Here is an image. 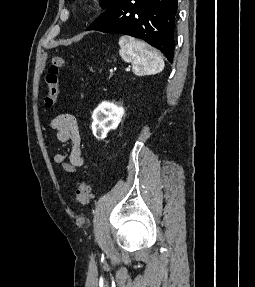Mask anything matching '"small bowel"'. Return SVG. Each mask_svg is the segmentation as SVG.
Masks as SVG:
<instances>
[{
	"mask_svg": "<svg viewBox=\"0 0 255 287\" xmlns=\"http://www.w3.org/2000/svg\"><path fill=\"white\" fill-rule=\"evenodd\" d=\"M52 130L56 133L59 142H69L71 145L70 152L67 156L64 153H57L54 161L62 166L66 173H72L76 168L84 164L81 151V134L79 123L75 115L63 113L56 116L50 124Z\"/></svg>",
	"mask_w": 255,
	"mask_h": 287,
	"instance_id": "1",
	"label": "small bowel"
}]
</instances>
